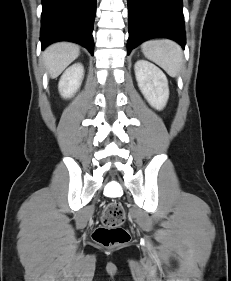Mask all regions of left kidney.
<instances>
[{"label":"left kidney","instance_id":"left-kidney-1","mask_svg":"<svg viewBox=\"0 0 231 281\" xmlns=\"http://www.w3.org/2000/svg\"><path fill=\"white\" fill-rule=\"evenodd\" d=\"M135 75L139 89L157 110H162L169 98L168 80L161 69L154 64L139 60L135 63Z\"/></svg>","mask_w":231,"mask_h":281}]
</instances>
